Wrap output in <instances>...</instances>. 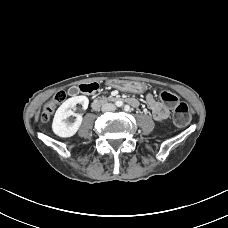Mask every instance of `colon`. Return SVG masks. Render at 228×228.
<instances>
[{"instance_id":"obj_1","label":"colon","mask_w":228,"mask_h":228,"mask_svg":"<svg viewBox=\"0 0 228 228\" xmlns=\"http://www.w3.org/2000/svg\"><path fill=\"white\" fill-rule=\"evenodd\" d=\"M93 86V85H92ZM161 100L170 106L174 107L173 120L177 126H186L191 120V109L184 103L180 102L178 98L167 91H163L160 94ZM66 99V92L58 91L53 98L44 106L41 113V120L47 122L55 111L58 104L62 103Z\"/></svg>"}]
</instances>
